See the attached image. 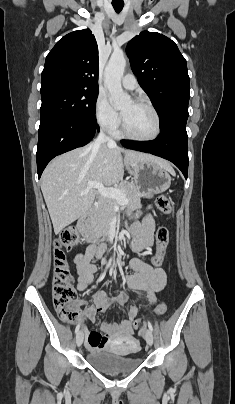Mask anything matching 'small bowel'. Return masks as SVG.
I'll return each mask as SVG.
<instances>
[{
  "mask_svg": "<svg viewBox=\"0 0 235 404\" xmlns=\"http://www.w3.org/2000/svg\"><path fill=\"white\" fill-rule=\"evenodd\" d=\"M154 222L151 216H146L141 222L135 223L131 228L132 248L138 253L147 251L153 244ZM104 247L102 245L90 244L86 250L75 257V271L77 274V287L84 291L93 281L97 273V266L92 261L100 255ZM130 267L134 274L126 279L129 289L142 291L147 294L148 305L156 302L155 294L163 290L167 283L165 271L159 267H151L139 259H132ZM127 303V295L122 292L115 299L107 296L105 291H98L92 296V304L82 301L79 305L84 307V316L88 321H94L97 312H105L113 304L124 306ZM138 315V309L134 306L127 308V319L120 323L111 324L103 322L101 330L106 334L102 336L97 331H89L83 327L86 346L89 350L101 347H112L113 344L129 342L132 333V324ZM102 338L107 342L102 343Z\"/></svg>",
  "mask_w": 235,
  "mask_h": 404,
  "instance_id": "c3829d8e",
  "label": "small bowel"
}]
</instances>
